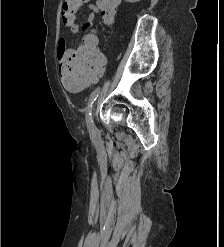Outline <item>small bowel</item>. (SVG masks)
Segmentation results:
<instances>
[{
  "mask_svg": "<svg viewBox=\"0 0 224 247\" xmlns=\"http://www.w3.org/2000/svg\"><path fill=\"white\" fill-rule=\"evenodd\" d=\"M89 2H90V0H82V4L89 3ZM89 8H90V14H89L88 19L84 23V27L86 29H89L93 26L94 20H95L96 16L99 14L98 6H96L94 4H89ZM64 27L67 30V32L71 35H75L79 31V26L76 22L64 25ZM70 52L71 51L69 49H67V47H66L65 39L61 38L59 40L58 47H57V58H58V61L60 64L64 63L66 61L67 56L70 54Z\"/></svg>",
  "mask_w": 224,
  "mask_h": 247,
  "instance_id": "c3829d8e",
  "label": "small bowel"
}]
</instances>
